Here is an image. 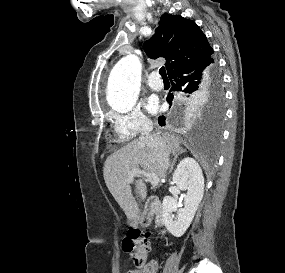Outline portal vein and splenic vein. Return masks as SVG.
Listing matches in <instances>:
<instances>
[{
    "label": "portal vein and splenic vein",
    "instance_id": "portal-vein-and-splenic-vein-1",
    "mask_svg": "<svg viewBox=\"0 0 285 273\" xmlns=\"http://www.w3.org/2000/svg\"><path fill=\"white\" fill-rule=\"evenodd\" d=\"M137 176L146 177L153 186H157L159 183V178L155 173H150L145 170H141L139 168H134L130 171L127 181L131 183L133 182V179Z\"/></svg>",
    "mask_w": 285,
    "mask_h": 273
}]
</instances>
